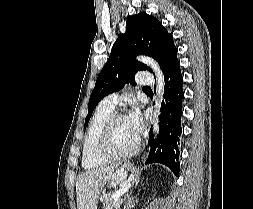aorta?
Returning a JSON list of instances; mask_svg holds the SVG:
<instances>
[{"label":"aorta","instance_id":"obj_1","mask_svg":"<svg viewBox=\"0 0 253 209\" xmlns=\"http://www.w3.org/2000/svg\"><path fill=\"white\" fill-rule=\"evenodd\" d=\"M138 60L142 61L143 63H146L148 66H150L156 75L157 80V99H156V105L157 107H160L161 99L164 92V76L162 74V71L159 68V65L156 61L149 57L141 56L138 58ZM154 132H157V126L154 127Z\"/></svg>","mask_w":253,"mask_h":209}]
</instances>
